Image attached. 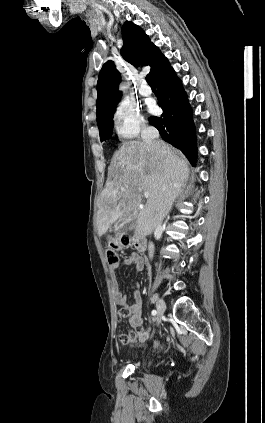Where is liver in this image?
Segmentation results:
<instances>
[{"mask_svg": "<svg viewBox=\"0 0 265 423\" xmlns=\"http://www.w3.org/2000/svg\"><path fill=\"white\" fill-rule=\"evenodd\" d=\"M188 174L187 160L163 141L155 145L125 142L112 157L109 180L100 196L98 235L129 215L136 218L130 230L150 235L170 211ZM144 192L149 197L140 208Z\"/></svg>", "mask_w": 265, "mask_h": 423, "instance_id": "obj_1", "label": "liver"}]
</instances>
